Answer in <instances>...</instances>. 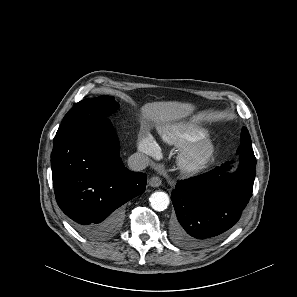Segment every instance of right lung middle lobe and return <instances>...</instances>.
Segmentation results:
<instances>
[{"label": "right lung middle lobe", "mask_w": 297, "mask_h": 297, "mask_svg": "<svg viewBox=\"0 0 297 297\" xmlns=\"http://www.w3.org/2000/svg\"><path fill=\"white\" fill-rule=\"evenodd\" d=\"M118 106L111 96L82 100L65 115L56 136L94 124H111L107 117L116 111Z\"/></svg>", "instance_id": "right-lung-middle-lobe-1"}]
</instances>
